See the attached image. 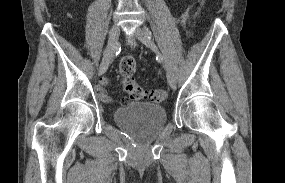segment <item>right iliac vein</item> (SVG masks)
Returning a JSON list of instances; mask_svg holds the SVG:
<instances>
[{"mask_svg": "<svg viewBox=\"0 0 285 183\" xmlns=\"http://www.w3.org/2000/svg\"><path fill=\"white\" fill-rule=\"evenodd\" d=\"M119 35H120L119 26L118 25L112 26V28L110 29V32H109L107 50H106L104 58H103V60L100 64V67H99V75H102L107 71V69H108V67H109V65H110V63L114 57Z\"/></svg>", "mask_w": 285, "mask_h": 183, "instance_id": "1", "label": "right iliac vein"}]
</instances>
